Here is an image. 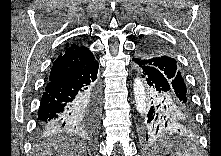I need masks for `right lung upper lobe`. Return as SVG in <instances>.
Returning a JSON list of instances; mask_svg holds the SVG:
<instances>
[{
  "mask_svg": "<svg viewBox=\"0 0 221 156\" xmlns=\"http://www.w3.org/2000/svg\"><path fill=\"white\" fill-rule=\"evenodd\" d=\"M92 61H94V55L88 48L75 44L66 46L53 63L49 81L81 70Z\"/></svg>",
  "mask_w": 221,
  "mask_h": 156,
  "instance_id": "1",
  "label": "right lung upper lobe"
}]
</instances>
